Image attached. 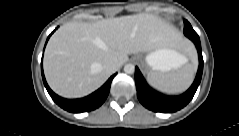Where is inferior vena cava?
I'll use <instances>...</instances> for the list:
<instances>
[{
    "label": "inferior vena cava",
    "mask_w": 239,
    "mask_h": 136,
    "mask_svg": "<svg viewBox=\"0 0 239 136\" xmlns=\"http://www.w3.org/2000/svg\"><path fill=\"white\" fill-rule=\"evenodd\" d=\"M105 69L108 71L114 72L119 68V64L116 60H108L104 63Z\"/></svg>",
    "instance_id": "obj_1"
}]
</instances>
